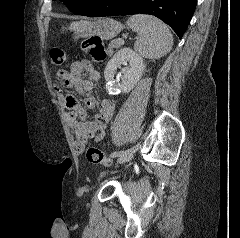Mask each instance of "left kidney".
I'll use <instances>...</instances> for the list:
<instances>
[{"label":"left kidney","instance_id":"left-kidney-1","mask_svg":"<svg viewBox=\"0 0 240 238\" xmlns=\"http://www.w3.org/2000/svg\"><path fill=\"white\" fill-rule=\"evenodd\" d=\"M129 62V67L122 70L123 76L121 77V83H117L114 80L115 71L122 64L127 65ZM145 65L143 58L134 52L130 48L120 49L107 63L104 77L107 81L106 89L110 94H119L121 92H130L137 82L139 81Z\"/></svg>","mask_w":240,"mask_h":238}]
</instances>
